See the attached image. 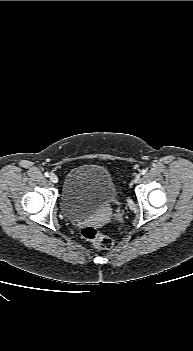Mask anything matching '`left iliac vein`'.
<instances>
[{"instance_id": "obj_1", "label": "left iliac vein", "mask_w": 193, "mask_h": 351, "mask_svg": "<svg viewBox=\"0 0 193 351\" xmlns=\"http://www.w3.org/2000/svg\"><path fill=\"white\" fill-rule=\"evenodd\" d=\"M140 180V174H137L136 176H135V181L137 182V181H139Z\"/></svg>"}]
</instances>
